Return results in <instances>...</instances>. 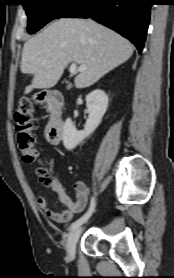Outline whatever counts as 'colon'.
I'll list each match as a JSON object with an SVG mask.
<instances>
[{
	"label": "colon",
	"mask_w": 174,
	"mask_h": 278,
	"mask_svg": "<svg viewBox=\"0 0 174 278\" xmlns=\"http://www.w3.org/2000/svg\"><path fill=\"white\" fill-rule=\"evenodd\" d=\"M33 113L32 102L24 98L21 100L18 109L14 114L16 129L17 146L26 162H33L37 159V151L33 146V137L31 134V119ZM37 173L45 185L52 184V177L45 166L40 167Z\"/></svg>",
	"instance_id": "1"
}]
</instances>
